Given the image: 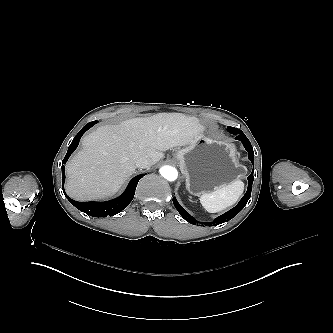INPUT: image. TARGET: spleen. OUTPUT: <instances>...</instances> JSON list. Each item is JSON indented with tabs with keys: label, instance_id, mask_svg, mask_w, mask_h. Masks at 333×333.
Masks as SVG:
<instances>
[{
	"label": "spleen",
	"instance_id": "3e777b00",
	"mask_svg": "<svg viewBox=\"0 0 333 333\" xmlns=\"http://www.w3.org/2000/svg\"><path fill=\"white\" fill-rule=\"evenodd\" d=\"M243 189L244 183L237 179L214 191L203 193L199 198L200 203L208 212L221 211L235 204L243 193Z\"/></svg>",
	"mask_w": 333,
	"mask_h": 333
}]
</instances>
